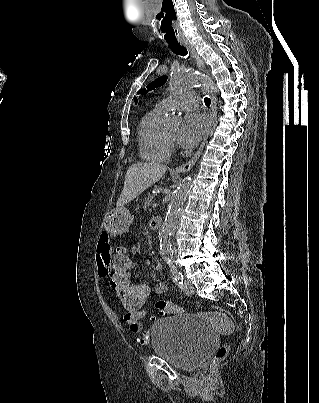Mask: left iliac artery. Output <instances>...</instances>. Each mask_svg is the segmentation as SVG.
Returning a JSON list of instances; mask_svg holds the SVG:
<instances>
[{
    "mask_svg": "<svg viewBox=\"0 0 319 403\" xmlns=\"http://www.w3.org/2000/svg\"><path fill=\"white\" fill-rule=\"evenodd\" d=\"M170 271L180 289L183 288V275L173 262H169Z\"/></svg>",
    "mask_w": 319,
    "mask_h": 403,
    "instance_id": "left-iliac-artery-1",
    "label": "left iliac artery"
}]
</instances>
